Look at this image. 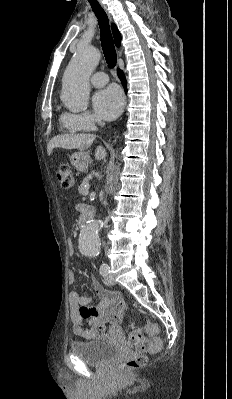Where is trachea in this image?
Wrapping results in <instances>:
<instances>
[{
    "mask_svg": "<svg viewBox=\"0 0 232 399\" xmlns=\"http://www.w3.org/2000/svg\"><path fill=\"white\" fill-rule=\"evenodd\" d=\"M91 8L98 18V23L100 27V40L102 50L109 67H115L117 63V54L115 51L112 34L110 31L109 20L106 12L101 7L97 0H88Z\"/></svg>",
    "mask_w": 232,
    "mask_h": 399,
    "instance_id": "obj_1",
    "label": "trachea"
}]
</instances>
